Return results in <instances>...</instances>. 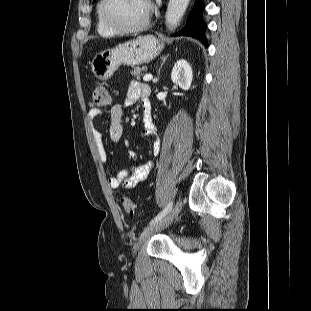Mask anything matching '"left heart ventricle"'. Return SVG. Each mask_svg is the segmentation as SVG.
Masks as SVG:
<instances>
[{"label":"left heart ventricle","mask_w":311,"mask_h":311,"mask_svg":"<svg viewBox=\"0 0 311 311\" xmlns=\"http://www.w3.org/2000/svg\"><path fill=\"white\" fill-rule=\"evenodd\" d=\"M148 12V0H111L108 7L110 18L124 27L140 24Z\"/></svg>","instance_id":"obj_1"}]
</instances>
